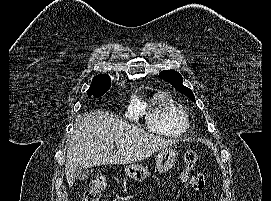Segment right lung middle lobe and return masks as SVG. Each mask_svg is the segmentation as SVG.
I'll list each match as a JSON object with an SVG mask.
<instances>
[{
    "label": "right lung middle lobe",
    "mask_w": 271,
    "mask_h": 201,
    "mask_svg": "<svg viewBox=\"0 0 271 201\" xmlns=\"http://www.w3.org/2000/svg\"><path fill=\"white\" fill-rule=\"evenodd\" d=\"M111 86V79L109 77L93 78L90 89L87 91L89 96L100 97L106 93Z\"/></svg>",
    "instance_id": "right-lung-middle-lobe-1"
}]
</instances>
